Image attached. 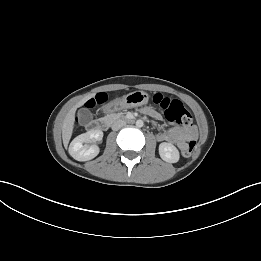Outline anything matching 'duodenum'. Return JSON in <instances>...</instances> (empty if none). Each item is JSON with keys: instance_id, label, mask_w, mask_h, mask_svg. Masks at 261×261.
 Segmentation results:
<instances>
[{"instance_id": "1", "label": "duodenum", "mask_w": 261, "mask_h": 261, "mask_svg": "<svg viewBox=\"0 0 261 261\" xmlns=\"http://www.w3.org/2000/svg\"><path fill=\"white\" fill-rule=\"evenodd\" d=\"M128 123L135 122V118L133 116H128L124 119ZM110 126V121L108 119H99L94 121L91 124V129L93 130H107Z\"/></svg>"}]
</instances>
